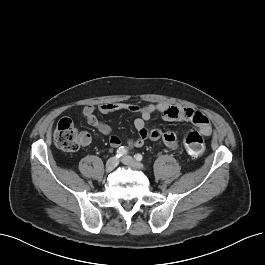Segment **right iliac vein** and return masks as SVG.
Masks as SVG:
<instances>
[{"label":"right iliac vein","mask_w":265,"mask_h":265,"mask_svg":"<svg viewBox=\"0 0 265 265\" xmlns=\"http://www.w3.org/2000/svg\"><path fill=\"white\" fill-rule=\"evenodd\" d=\"M118 163H119V160H118L117 157H111V158L106 162V166H105L106 171H107V172H111V171H113V170L117 167Z\"/></svg>","instance_id":"63e3f726"}]
</instances>
